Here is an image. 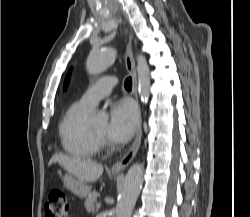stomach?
Returning a JSON list of instances; mask_svg holds the SVG:
<instances>
[{
  "mask_svg": "<svg viewBox=\"0 0 250 217\" xmlns=\"http://www.w3.org/2000/svg\"><path fill=\"white\" fill-rule=\"evenodd\" d=\"M63 181L66 188L81 199L86 198L91 193V188L87 183L79 181L70 173L64 175Z\"/></svg>",
  "mask_w": 250,
  "mask_h": 217,
  "instance_id": "0dacf381",
  "label": "stomach"
}]
</instances>
